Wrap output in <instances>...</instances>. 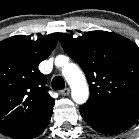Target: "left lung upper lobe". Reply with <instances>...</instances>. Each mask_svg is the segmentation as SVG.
<instances>
[{
	"label": "left lung upper lobe",
	"instance_id": "obj_1",
	"mask_svg": "<svg viewBox=\"0 0 139 139\" xmlns=\"http://www.w3.org/2000/svg\"><path fill=\"white\" fill-rule=\"evenodd\" d=\"M59 39L87 77L90 97L85 105L114 109L139 103V47L134 42L106 31L78 38L60 34Z\"/></svg>",
	"mask_w": 139,
	"mask_h": 139
}]
</instances>
